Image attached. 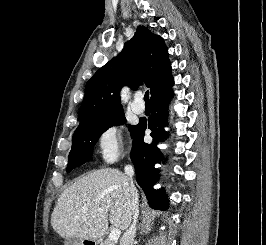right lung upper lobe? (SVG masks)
I'll list each match as a JSON object with an SVG mask.
<instances>
[{"mask_svg": "<svg viewBox=\"0 0 266 245\" xmlns=\"http://www.w3.org/2000/svg\"><path fill=\"white\" fill-rule=\"evenodd\" d=\"M143 82L151 97L173 82L171 63L163 38L138 26L122 52L101 67L87 82L80 109V122L123 111L120 90L136 89Z\"/></svg>", "mask_w": 266, "mask_h": 245, "instance_id": "obj_1", "label": "right lung upper lobe"}]
</instances>
